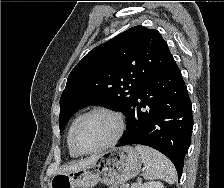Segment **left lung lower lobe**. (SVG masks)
Segmentation results:
<instances>
[{"label":"left lung lower lobe","mask_w":224,"mask_h":188,"mask_svg":"<svg viewBox=\"0 0 224 188\" xmlns=\"http://www.w3.org/2000/svg\"><path fill=\"white\" fill-rule=\"evenodd\" d=\"M191 102L175 60L137 95L127 130L117 145L142 144L166 155L180 179L193 128Z\"/></svg>","instance_id":"obj_1"}]
</instances>
